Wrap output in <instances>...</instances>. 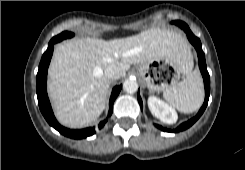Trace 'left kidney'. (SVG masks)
Listing matches in <instances>:
<instances>
[{
	"mask_svg": "<svg viewBox=\"0 0 245 170\" xmlns=\"http://www.w3.org/2000/svg\"><path fill=\"white\" fill-rule=\"evenodd\" d=\"M148 107L152 115L164 123L173 124L178 119L176 111L155 96H150L148 98Z\"/></svg>",
	"mask_w": 245,
	"mask_h": 170,
	"instance_id": "left-kidney-1",
	"label": "left kidney"
}]
</instances>
